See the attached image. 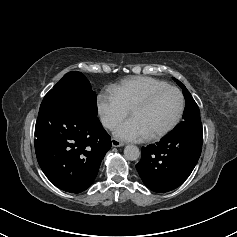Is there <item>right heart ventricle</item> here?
Segmentation results:
<instances>
[{"mask_svg": "<svg viewBox=\"0 0 237 237\" xmlns=\"http://www.w3.org/2000/svg\"><path fill=\"white\" fill-rule=\"evenodd\" d=\"M168 85L151 77H132L112 86L110 89L118 96L124 107H130L153 89Z\"/></svg>", "mask_w": 237, "mask_h": 237, "instance_id": "right-heart-ventricle-1", "label": "right heart ventricle"}]
</instances>
